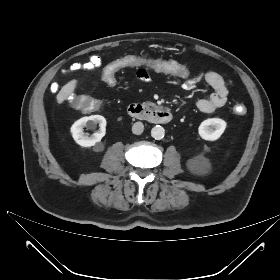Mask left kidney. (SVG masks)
I'll list each match as a JSON object with an SVG mask.
<instances>
[{
    "mask_svg": "<svg viewBox=\"0 0 280 280\" xmlns=\"http://www.w3.org/2000/svg\"><path fill=\"white\" fill-rule=\"evenodd\" d=\"M226 128V122L220 118H209L204 120L199 128L198 133L204 140L215 141L223 134Z\"/></svg>",
    "mask_w": 280,
    "mask_h": 280,
    "instance_id": "left-kidney-1",
    "label": "left kidney"
}]
</instances>
